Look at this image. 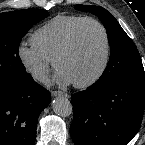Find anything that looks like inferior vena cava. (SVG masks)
I'll list each match as a JSON object with an SVG mask.
<instances>
[{
    "label": "inferior vena cava",
    "instance_id": "1",
    "mask_svg": "<svg viewBox=\"0 0 145 145\" xmlns=\"http://www.w3.org/2000/svg\"><path fill=\"white\" fill-rule=\"evenodd\" d=\"M35 78H37V79H45L46 76L44 74H38V75L35 76Z\"/></svg>",
    "mask_w": 145,
    "mask_h": 145
}]
</instances>
